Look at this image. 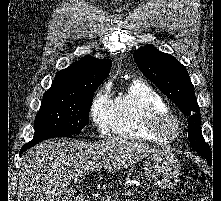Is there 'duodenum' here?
Segmentation results:
<instances>
[{
  "instance_id": "obj_1",
  "label": "duodenum",
  "mask_w": 221,
  "mask_h": 201,
  "mask_svg": "<svg viewBox=\"0 0 221 201\" xmlns=\"http://www.w3.org/2000/svg\"><path fill=\"white\" fill-rule=\"evenodd\" d=\"M75 201H85V199H84V197L79 196V197H77V198H76V200H75Z\"/></svg>"
}]
</instances>
